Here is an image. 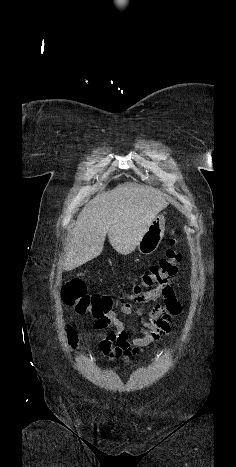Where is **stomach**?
<instances>
[{"label":"stomach","mask_w":236,"mask_h":467,"mask_svg":"<svg viewBox=\"0 0 236 467\" xmlns=\"http://www.w3.org/2000/svg\"><path fill=\"white\" fill-rule=\"evenodd\" d=\"M165 231V218L158 215L147 227L137 248L141 254L149 255L157 250Z\"/></svg>","instance_id":"0dacf381"}]
</instances>
